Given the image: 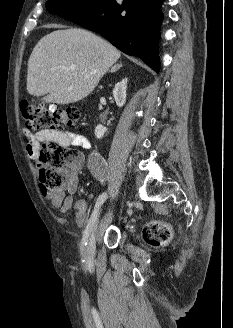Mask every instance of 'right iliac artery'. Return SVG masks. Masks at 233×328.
<instances>
[{"label": "right iliac artery", "mask_w": 233, "mask_h": 328, "mask_svg": "<svg viewBox=\"0 0 233 328\" xmlns=\"http://www.w3.org/2000/svg\"><path fill=\"white\" fill-rule=\"evenodd\" d=\"M90 164H91L93 175L99 181L104 182L105 177H104L103 172H104L105 166H106V163H105L104 159L99 154L95 153L91 157ZM106 198H107L106 193H102L97 199L94 210H93L92 215H91V217H90V219L87 223V226H86V229L84 231V235H83V238H82V241H81L80 250H81L82 254H83V252L85 250V247L87 245V241H88V238L91 234L93 225L95 223V220H96V217H97V214H98V211H99V208L104 203Z\"/></svg>", "instance_id": "1"}]
</instances>
